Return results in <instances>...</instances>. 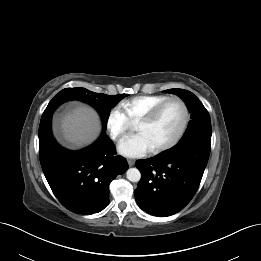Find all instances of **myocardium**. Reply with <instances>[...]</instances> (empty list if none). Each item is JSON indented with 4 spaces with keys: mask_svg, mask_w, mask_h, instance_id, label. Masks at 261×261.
I'll return each instance as SVG.
<instances>
[{
    "mask_svg": "<svg viewBox=\"0 0 261 261\" xmlns=\"http://www.w3.org/2000/svg\"><path fill=\"white\" fill-rule=\"evenodd\" d=\"M172 103L179 105L180 108L182 109L183 117H182L181 126L172 139H170L168 142L160 146L152 148L151 149L152 153H160L166 151L174 147L182 139V137L187 131L190 122V111L187 104L179 97H169L168 99H166L165 101L161 102L156 107H154L151 111H149L145 116H143L140 120L136 122V125L153 123L159 117L162 111Z\"/></svg>",
    "mask_w": 261,
    "mask_h": 261,
    "instance_id": "f54148a6",
    "label": "myocardium"
}]
</instances>
